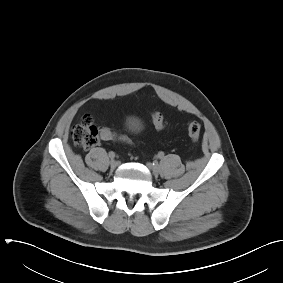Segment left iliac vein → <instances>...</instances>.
<instances>
[{
  "instance_id": "4c4485c4",
  "label": "left iliac vein",
  "mask_w": 283,
  "mask_h": 283,
  "mask_svg": "<svg viewBox=\"0 0 283 283\" xmlns=\"http://www.w3.org/2000/svg\"><path fill=\"white\" fill-rule=\"evenodd\" d=\"M147 167L154 175H158L160 173V167L157 164H152L149 162L147 163Z\"/></svg>"
}]
</instances>
